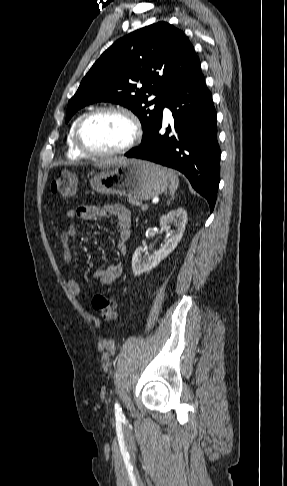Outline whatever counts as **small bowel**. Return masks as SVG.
I'll use <instances>...</instances> for the list:
<instances>
[{
    "label": "small bowel",
    "mask_w": 287,
    "mask_h": 486,
    "mask_svg": "<svg viewBox=\"0 0 287 486\" xmlns=\"http://www.w3.org/2000/svg\"><path fill=\"white\" fill-rule=\"evenodd\" d=\"M112 217L117 221L118 240L116 243V251L119 255H125L127 252V241L131 235V212L122 205L112 204L101 207L93 206H79L76 209L69 210L66 214L67 224L61 230L60 242L62 245V258L66 266L67 272L70 274V265L72 263L73 254L70 247L71 239L77 233L76 218L83 220H91L94 218ZM122 263L114 262L105 268H99L95 271L94 277L103 286L111 285L122 273ZM67 287L70 293L75 297L81 296V288L79 283L71 276L67 279Z\"/></svg>",
    "instance_id": "obj_1"
}]
</instances>
